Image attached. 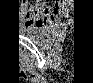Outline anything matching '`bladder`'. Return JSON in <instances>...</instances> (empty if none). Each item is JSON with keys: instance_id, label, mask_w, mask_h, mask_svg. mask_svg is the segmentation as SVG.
Here are the masks:
<instances>
[{"instance_id": "obj_1", "label": "bladder", "mask_w": 93, "mask_h": 83, "mask_svg": "<svg viewBox=\"0 0 93 83\" xmlns=\"http://www.w3.org/2000/svg\"><path fill=\"white\" fill-rule=\"evenodd\" d=\"M27 32L30 35L38 38L39 40H45L46 37H47L44 30L39 26L38 27H30V28L27 29Z\"/></svg>"}]
</instances>
